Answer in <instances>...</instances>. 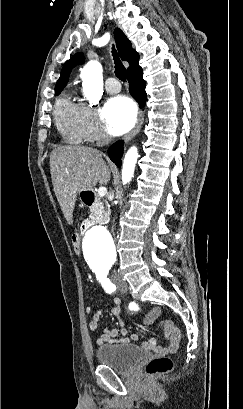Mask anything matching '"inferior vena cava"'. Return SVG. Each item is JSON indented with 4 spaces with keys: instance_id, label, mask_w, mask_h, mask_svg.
<instances>
[{
    "instance_id": "602c4592",
    "label": "inferior vena cava",
    "mask_w": 243,
    "mask_h": 409,
    "mask_svg": "<svg viewBox=\"0 0 243 409\" xmlns=\"http://www.w3.org/2000/svg\"><path fill=\"white\" fill-rule=\"evenodd\" d=\"M110 142V137L108 135L102 134L97 140V146H103Z\"/></svg>"
}]
</instances>
